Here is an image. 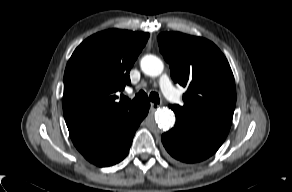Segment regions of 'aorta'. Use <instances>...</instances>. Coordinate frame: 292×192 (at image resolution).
I'll use <instances>...</instances> for the list:
<instances>
[{"instance_id": "aorta-1", "label": "aorta", "mask_w": 292, "mask_h": 192, "mask_svg": "<svg viewBox=\"0 0 292 192\" xmlns=\"http://www.w3.org/2000/svg\"><path fill=\"white\" fill-rule=\"evenodd\" d=\"M141 70L144 74L152 77L159 76L164 69L163 62L155 55H145L140 62ZM175 115L169 109H159L155 113L154 120L150 119L147 126L150 130L156 131L157 127L162 130H168L174 125Z\"/></svg>"}]
</instances>
